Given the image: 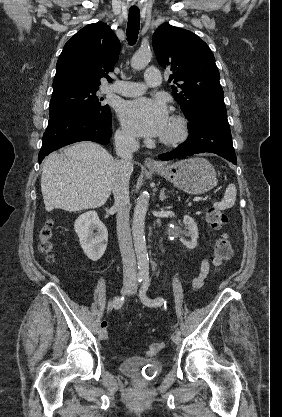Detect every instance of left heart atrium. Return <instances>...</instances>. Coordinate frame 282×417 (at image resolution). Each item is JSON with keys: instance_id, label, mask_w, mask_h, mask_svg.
Here are the masks:
<instances>
[{"instance_id": "obj_1", "label": "left heart atrium", "mask_w": 282, "mask_h": 417, "mask_svg": "<svg viewBox=\"0 0 282 417\" xmlns=\"http://www.w3.org/2000/svg\"><path fill=\"white\" fill-rule=\"evenodd\" d=\"M119 116L127 130L141 136L162 135L168 125L166 107L159 100L143 98L123 102Z\"/></svg>"}]
</instances>
